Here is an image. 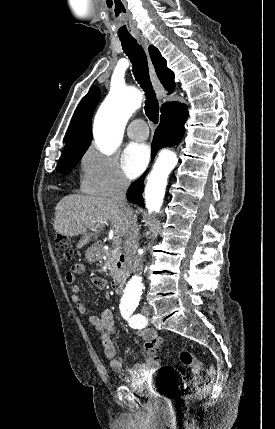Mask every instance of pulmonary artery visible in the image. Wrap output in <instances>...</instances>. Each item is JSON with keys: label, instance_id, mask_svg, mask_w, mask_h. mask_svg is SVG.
I'll return each mask as SVG.
<instances>
[{"label": "pulmonary artery", "instance_id": "e3ab8cb5", "mask_svg": "<svg viewBox=\"0 0 275 429\" xmlns=\"http://www.w3.org/2000/svg\"><path fill=\"white\" fill-rule=\"evenodd\" d=\"M128 136L136 141H143L148 137V128L144 120H133L127 128Z\"/></svg>", "mask_w": 275, "mask_h": 429}]
</instances>
